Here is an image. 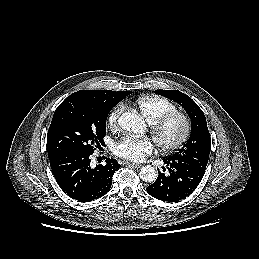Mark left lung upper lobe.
<instances>
[{
  "label": "left lung upper lobe",
  "mask_w": 259,
  "mask_h": 259,
  "mask_svg": "<svg viewBox=\"0 0 259 259\" xmlns=\"http://www.w3.org/2000/svg\"><path fill=\"white\" fill-rule=\"evenodd\" d=\"M154 92L179 103L191 119L190 138L178 152L167 158L190 163L199 170L205 171L211 139L203 111L188 95L178 90L159 89Z\"/></svg>",
  "instance_id": "5c2ea615"
}]
</instances>
